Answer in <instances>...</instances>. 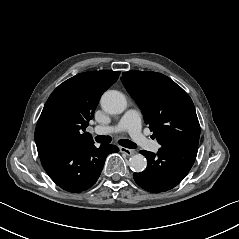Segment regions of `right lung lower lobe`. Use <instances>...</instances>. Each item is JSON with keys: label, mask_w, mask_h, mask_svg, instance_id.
<instances>
[{"label": "right lung lower lobe", "mask_w": 239, "mask_h": 239, "mask_svg": "<svg viewBox=\"0 0 239 239\" xmlns=\"http://www.w3.org/2000/svg\"><path fill=\"white\" fill-rule=\"evenodd\" d=\"M41 163L50 178L62 189L78 193L98 180L106 157L119 149L113 145L94 146V142L73 145L50 144L38 148Z\"/></svg>", "instance_id": "obj_1"}]
</instances>
